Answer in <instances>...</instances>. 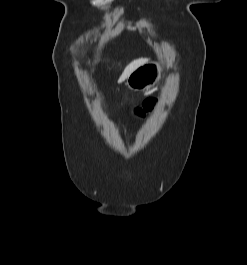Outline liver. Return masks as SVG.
Masks as SVG:
<instances>
[{
	"instance_id": "liver-1",
	"label": "liver",
	"mask_w": 247,
	"mask_h": 265,
	"mask_svg": "<svg viewBox=\"0 0 247 265\" xmlns=\"http://www.w3.org/2000/svg\"><path fill=\"white\" fill-rule=\"evenodd\" d=\"M148 62V59L146 58H140L132 61L130 64L126 66L124 69L122 75L120 76L118 82L121 83L125 81L132 72H134L138 67Z\"/></svg>"
}]
</instances>
